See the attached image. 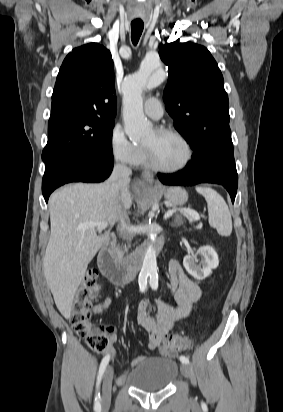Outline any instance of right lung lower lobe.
Wrapping results in <instances>:
<instances>
[{
    "label": "right lung lower lobe",
    "instance_id": "right-lung-lower-lobe-1",
    "mask_svg": "<svg viewBox=\"0 0 283 412\" xmlns=\"http://www.w3.org/2000/svg\"><path fill=\"white\" fill-rule=\"evenodd\" d=\"M113 160L105 158L61 157L45 165L42 193L46 202L59 186L69 182H101L111 173Z\"/></svg>",
    "mask_w": 283,
    "mask_h": 412
}]
</instances>
